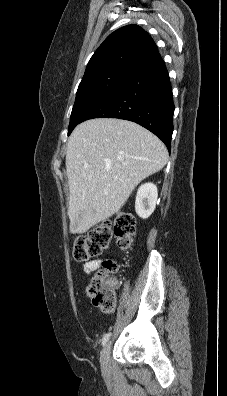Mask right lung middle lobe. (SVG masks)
Listing matches in <instances>:
<instances>
[{"instance_id":"dd1d6c3e","label":"right lung middle lobe","mask_w":227,"mask_h":396,"mask_svg":"<svg viewBox=\"0 0 227 396\" xmlns=\"http://www.w3.org/2000/svg\"><path fill=\"white\" fill-rule=\"evenodd\" d=\"M133 70L109 68L83 77L72 109L68 135L82 122L86 113L115 89Z\"/></svg>"}]
</instances>
